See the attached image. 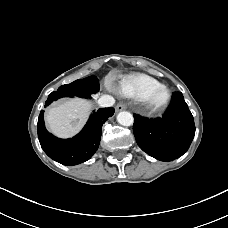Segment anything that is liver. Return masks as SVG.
Wrapping results in <instances>:
<instances>
[{"mask_svg":"<svg viewBox=\"0 0 228 228\" xmlns=\"http://www.w3.org/2000/svg\"><path fill=\"white\" fill-rule=\"evenodd\" d=\"M99 95H94L97 99ZM92 103L75 98L50 108L46 114L49 130L61 138L72 137L78 133L88 119Z\"/></svg>","mask_w":228,"mask_h":228,"instance_id":"1","label":"liver"}]
</instances>
